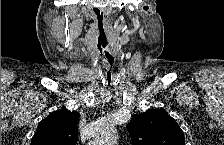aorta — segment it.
Masks as SVG:
<instances>
[{"label":"aorta","mask_w":224,"mask_h":145,"mask_svg":"<svg viewBox=\"0 0 224 145\" xmlns=\"http://www.w3.org/2000/svg\"><path fill=\"white\" fill-rule=\"evenodd\" d=\"M116 139L115 129L107 127L99 134L96 143L99 145H115Z\"/></svg>","instance_id":"1"}]
</instances>
